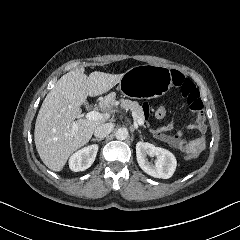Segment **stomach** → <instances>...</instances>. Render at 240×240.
I'll return each mask as SVG.
<instances>
[{
    "label": "stomach",
    "mask_w": 240,
    "mask_h": 240,
    "mask_svg": "<svg viewBox=\"0 0 240 240\" xmlns=\"http://www.w3.org/2000/svg\"><path fill=\"white\" fill-rule=\"evenodd\" d=\"M171 86L170 71L163 67L140 65L127 70L118 89L130 99H151L164 95Z\"/></svg>",
    "instance_id": "stomach-1"
}]
</instances>
